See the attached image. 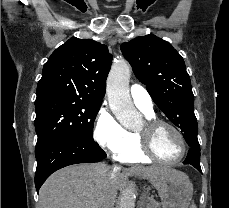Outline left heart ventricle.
Instances as JSON below:
<instances>
[{
    "label": "left heart ventricle",
    "instance_id": "left-heart-ventricle-1",
    "mask_svg": "<svg viewBox=\"0 0 229 208\" xmlns=\"http://www.w3.org/2000/svg\"><path fill=\"white\" fill-rule=\"evenodd\" d=\"M170 130L172 129L162 127L156 131L154 139L150 140L151 152H156L155 156L161 157V160H175L185 152V147H178V143H174ZM140 131H145V125Z\"/></svg>",
    "mask_w": 229,
    "mask_h": 208
}]
</instances>
